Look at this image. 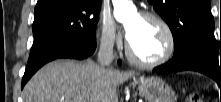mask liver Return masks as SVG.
Instances as JSON below:
<instances>
[{"label":"liver","mask_w":221,"mask_h":102,"mask_svg":"<svg viewBox=\"0 0 221 102\" xmlns=\"http://www.w3.org/2000/svg\"><path fill=\"white\" fill-rule=\"evenodd\" d=\"M136 75L93 62L56 60L27 82L24 102H118L117 88Z\"/></svg>","instance_id":"1"}]
</instances>
